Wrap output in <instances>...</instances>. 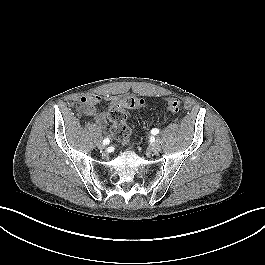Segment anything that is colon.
<instances>
[{"mask_svg": "<svg viewBox=\"0 0 265 265\" xmlns=\"http://www.w3.org/2000/svg\"><path fill=\"white\" fill-rule=\"evenodd\" d=\"M148 104L142 98L136 96H124L117 99L108 111V118L111 122V135L122 145L129 144L130 128L126 123L127 110L136 108H146ZM181 103L177 98L167 99V108L171 112L180 110Z\"/></svg>", "mask_w": 265, "mask_h": 265, "instance_id": "1", "label": "colon"}]
</instances>
